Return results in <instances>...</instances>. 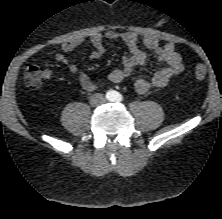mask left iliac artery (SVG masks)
Instances as JSON below:
<instances>
[{
	"label": "left iliac artery",
	"instance_id": "obj_1",
	"mask_svg": "<svg viewBox=\"0 0 222 219\" xmlns=\"http://www.w3.org/2000/svg\"><path fill=\"white\" fill-rule=\"evenodd\" d=\"M115 99L116 101H121L123 99V96L120 93L116 92Z\"/></svg>",
	"mask_w": 222,
	"mask_h": 219
}]
</instances>
